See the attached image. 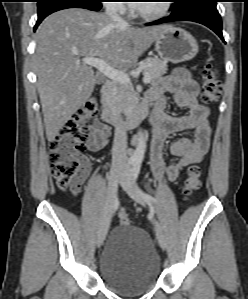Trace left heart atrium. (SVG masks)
<instances>
[{
    "label": "left heart atrium",
    "mask_w": 248,
    "mask_h": 299,
    "mask_svg": "<svg viewBox=\"0 0 248 299\" xmlns=\"http://www.w3.org/2000/svg\"><path fill=\"white\" fill-rule=\"evenodd\" d=\"M134 6H136V7H137V6H141V4L135 3Z\"/></svg>",
    "instance_id": "39dd6f15"
}]
</instances>
